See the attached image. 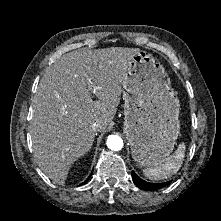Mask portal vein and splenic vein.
<instances>
[{
    "instance_id": "18ae733b",
    "label": "portal vein and splenic vein",
    "mask_w": 221,
    "mask_h": 221,
    "mask_svg": "<svg viewBox=\"0 0 221 221\" xmlns=\"http://www.w3.org/2000/svg\"><path fill=\"white\" fill-rule=\"evenodd\" d=\"M96 86L89 85V90L96 89Z\"/></svg>"
}]
</instances>
